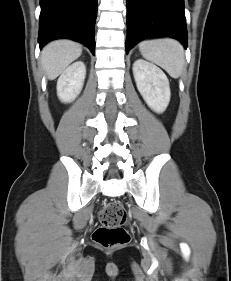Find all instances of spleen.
<instances>
[{
    "instance_id": "1",
    "label": "spleen",
    "mask_w": 231,
    "mask_h": 281,
    "mask_svg": "<svg viewBox=\"0 0 231 281\" xmlns=\"http://www.w3.org/2000/svg\"><path fill=\"white\" fill-rule=\"evenodd\" d=\"M143 57L162 67L171 77L181 76L185 64L182 45L173 39H155L139 44Z\"/></svg>"
}]
</instances>
